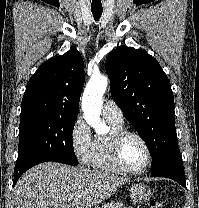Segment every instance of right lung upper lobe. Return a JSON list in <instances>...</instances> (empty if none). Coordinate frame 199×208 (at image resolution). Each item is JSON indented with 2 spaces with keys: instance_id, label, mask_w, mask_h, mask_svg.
Masks as SVG:
<instances>
[{
  "instance_id": "obj_1",
  "label": "right lung upper lobe",
  "mask_w": 199,
  "mask_h": 208,
  "mask_svg": "<svg viewBox=\"0 0 199 208\" xmlns=\"http://www.w3.org/2000/svg\"><path fill=\"white\" fill-rule=\"evenodd\" d=\"M84 62L76 49L42 63L27 83L21 114L77 116L84 86Z\"/></svg>"
}]
</instances>
